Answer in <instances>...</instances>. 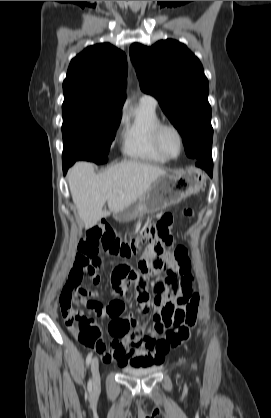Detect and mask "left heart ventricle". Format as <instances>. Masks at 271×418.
Wrapping results in <instances>:
<instances>
[{"label": "left heart ventricle", "instance_id": "b2bd125f", "mask_svg": "<svg viewBox=\"0 0 271 418\" xmlns=\"http://www.w3.org/2000/svg\"><path fill=\"white\" fill-rule=\"evenodd\" d=\"M161 143L165 152L171 156H175L179 150V142L177 136L171 130L162 133Z\"/></svg>", "mask_w": 271, "mask_h": 418}]
</instances>
